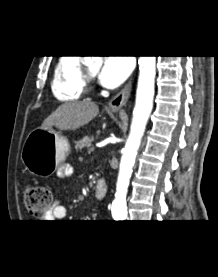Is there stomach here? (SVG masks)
I'll list each match as a JSON object with an SVG mask.
<instances>
[{"mask_svg": "<svg viewBox=\"0 0 218 277\" xmlns=\"http://www.w3.org/2000/svg\"><path fill=\"white\" fill-rule=\"evenodd\" d=\"M115 112V110H114ZM70 145L66 137L55 129H35L25 139L21 160L35 176L51 175L66 159Z\"/></svg>", "mask_w": 218, "mask_h": 277, "instance_id": "obj_1", "label": "stomach"}]
</instances>
